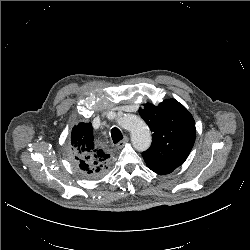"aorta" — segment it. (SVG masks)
I'll return each instance as SVG.
<instances>
[{
  "label": "aorta",
  "instance_id": "762f6f07",
  "mask_svg": "<svg viewBox=\"0 0 250 250\" xmlns=\"http://www.w3.org/2000/svg\"><path fill=\"white\" fill-rule=\"evenodd\" d=\"M117 124L131 133V142L138 151L147 150L152 142L148 126L137 116L125 115L117 118Z\"/></svg>",
  "mask_w": 250,
  "mask_h": 250
}]
</instances>
